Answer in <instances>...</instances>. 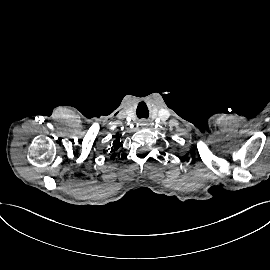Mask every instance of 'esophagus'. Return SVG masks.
<instances>
[{
  "instance_id": "esophagus-1",
  "label": "esophagus",
  "mask_w": 270,
  "mask_h": 270,
  "mask_svg": "<svg viewBox=\"0 0 270 270\" xmlns=\"http://www.w3.org/2000/svg\"><path fill=\"white\" fill-rule=\"evenodd\" d=\"M140 125H141L142 127H147V126L149 125V123H148L147 120H141Z\"/></svg>"
}]
</instances>
